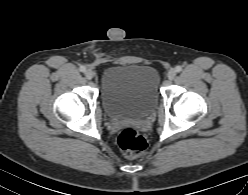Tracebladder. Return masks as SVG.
Returning a JSON list of instances; mask_svg holds the SVG:
<instances>
[{
    "mask_svg": "<svg viewBox=\"0 0 248 195\" xmlns=\"http://www.w3.org/2000/svg\"><path fill=\"white\" fill-rule=\"evenodd\" d=\"M159 86V73L150 65L111 66L101 75V104L110 118H142L157 105Z\"/></svg>",
    "mask_w": 248,
    "mask_h": 195,
    "instance_id": "31cf9c89",
    "label": "bladder"
}]
</instances>
